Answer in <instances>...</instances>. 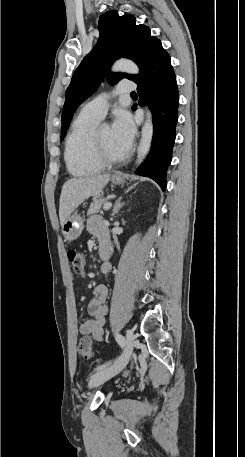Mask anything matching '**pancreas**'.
I'll return each mask as SVG.
<instances>
[{"label":"pancreas","mask_w":245,"mask_h":457,"mask_svg":"<svg viewBox=\"0 0 245 457\" xmlns=\"http://www.w3.org/2000/svg\"><path fill=\"white\" fill-rule=\"evenodd\" d=\"M107 202V198H101V196H98V198H95L93 202L90 204V208L87 210V214H95V212H101V208L103 204Z\"/></svg>","instance_id":"pancreas-1"}]
</instances>
